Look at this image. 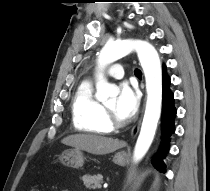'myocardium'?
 <instances>
[{"instance_id":"1","label":"myocardium","mask_w":210,"mask_h":191,"mask_svg":"<svg viewBox=\"0 0 210 191\" xmlns=\"http://www.w3.org/2000/svg\"><path fill=\"white\" fill-rule=\"evenodd\" d=\"M104 109L106 112L107 122L111 129L120 128L125 125V122L120 119L113 110L109 109L107 106H104Z\"/></svg>"}]
</instances>
